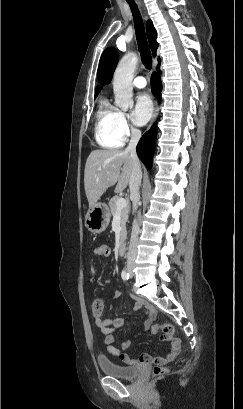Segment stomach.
Listing matches in <instances>:
<instances>
[{"label": "stomach", "instance_id": "obj_1", "mask_svg": "<svg viewBox=\"0 0 243 409\" xmlns=\"http://www.w3.org/2000/svg\"><path fill=\"white\" fill-rule=\"evenodd\" d=\"M110 211L106 204L96 203L90 207L85 216V226L92 233L103 232L110 221Z\"/></svg>", "mask_w": 243, "mask_h": 409}]
</instances>
